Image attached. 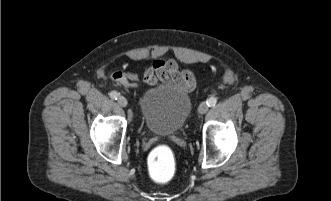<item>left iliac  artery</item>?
<instances>
[{
    "label": "left iliac artery",
    "mask_w": 331,
    "mask_h": 201,
    "mask_svg": "<svg viewBox=\"0 0 331 201\" xmlns=\"http://www.w3.org/2000/svg\"><path fill=\"white\" fill-rule=\"evenodd\" d=\"M207 105L212 107V106H215V104L217 103V98L215 97H211L207 100Z\"/></svg>",
    "instance_id": "left-iliac-artery-1"
}]
</instances>
